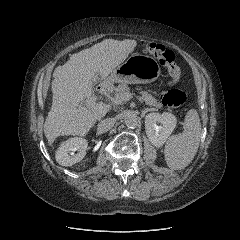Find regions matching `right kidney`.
Wrapping results in <instances>:
<instances>
[{
    "mask_svg": "<svg viewBox=\"0 0 240 240\" xmlns=\"http://www.w3.org/2000/svg\"><path fill=\"white\" fill-rule=\"evenodd\" d=\"M87 146L88 142L84 138H69L56 151V161L62 166H72L84 158ZM77 150L78 153H75Z\"/></svg>",
    "mask_w": 240,
    "mask_h": 240,
    "instance_id": "ca27d5eb",
    "label": "right kidney"
}]
</instances>
